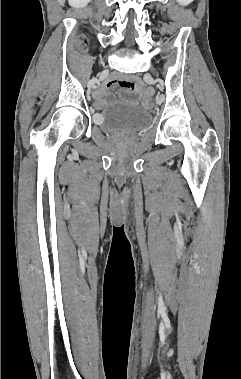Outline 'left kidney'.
<instances>
[{
	"label": "left kidney",
	"mask_w": 241,
	"mask_h": 379,
	"mask_svg": "<svg viewBox=\"0 0 241 379\" xmlns=\"http://www.w3.org/2000/svg\"><path fill=\"white\" fill-rule=\"evenodd\" d=\"M178 3H180L181 5H188L190 4L191 2H193L194 0H177Z\"/></svg>",
	"instance_id": "left-kidney-1"
}]
</instances>
